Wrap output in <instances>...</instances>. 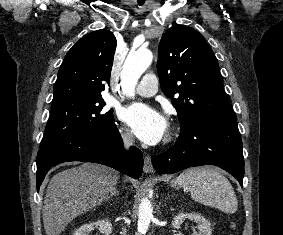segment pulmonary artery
I'll return each instance as SVG.
<instances>
[{"label":"pulmonary artery","instance_id":"1","mask_svg":"<svg viewBox=\"0 0 283 235\" xmlns=\"http://www.w3.org/2000/svg\"><path fill=\"white\" fill-rule=\"evenodd\" d=\"M157 92V77L154 74H146L136 87V93L140 96L150 97Z\"/></svg>","mask_w":283,"mask_h":235}]
</instances>
